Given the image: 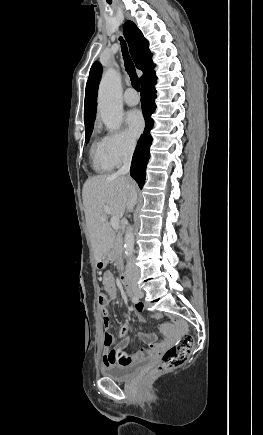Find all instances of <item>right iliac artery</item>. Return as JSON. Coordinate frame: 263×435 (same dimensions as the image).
I'll return each mask as SVG.
<instances>
[{"label":"right iliac artery","mask_w":263,"mask_h":435,"mask_svg":"<svg viewBox=\"0 0 263 435\" xmlns=\"http://www.w3.org/2000/svg\"><path fill=\"white\" fill-rule=\"evenodd\" d=\"M132 302L137 303L138 302V297L132 296Z\"/></svg>","instance_id":"obj_1"}]
</instances>
